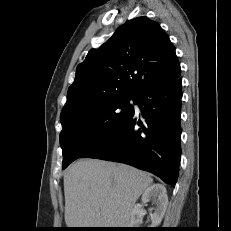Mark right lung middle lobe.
<instances>
[{"label":"right lung middle lobe","instance_id":"right-lung-middle-lobe-1","mask_svg":"<svg viewBox=\"0 0 231 231\" xmlns=\"http://www.w3.org/2000/svg\"><path fill=\"white\" fill-rule=\"evenodd\" d=\"M130 100L135 102V97L115 98L60 116L62 169L102 144L127 122L134 112Z\"/></svg>","mask_w":231,"mask_h":231}]
</instances>
